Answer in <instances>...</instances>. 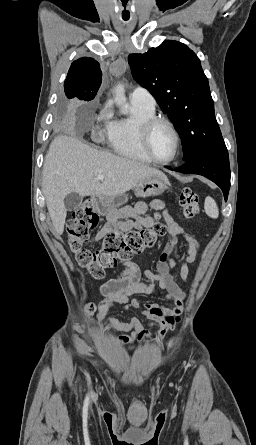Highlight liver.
I'll list each match as a JSON object with an SVG mask.
<instances>
[{
    "label": "liver",
    "mask_w": 256,
    "mask_h": 445,
    "mask_svg": "<svg viewBox=\"0 0 256 445\" xmlns=\"http://www.w3.org/2000/svg\"><path fill=\"white\" fill-rule=\"evenodd\" d=\"M99 175L105 177L102 182L96 180ZM154 175L164 174L146 164L91 148L74 136L55 137L43 165L42 191L56 233L64 231L67 194L119 196Z\"/></svg>",
    "instance_id": "1"
}]
</instances>
